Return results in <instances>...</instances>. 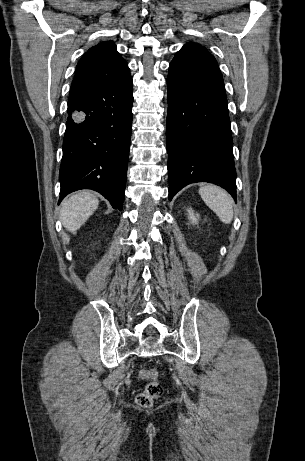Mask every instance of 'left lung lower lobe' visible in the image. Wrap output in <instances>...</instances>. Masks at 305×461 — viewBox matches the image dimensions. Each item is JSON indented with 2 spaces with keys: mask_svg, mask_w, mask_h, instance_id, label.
<instances>
[{
  "mask_svg": "<svg viewBox=\"0 0 305 461\" xmlns=\"http://www.w3.org/2000/svg\"><path fill=\"white\" fill-rule=\"evenodd\" d=\"M166 125L169 199L194 182L236 199V170L223 77L212 55L179 51L169 66Z\"/></svg>",
  "mask_w": 305,
  "mask_h": 461,
  "instance_id": "obj_1",
  "label": "left lung lower lobe"
}]
</instances>
